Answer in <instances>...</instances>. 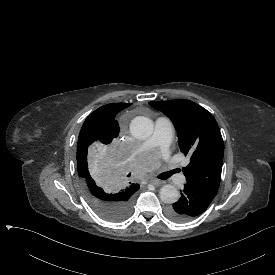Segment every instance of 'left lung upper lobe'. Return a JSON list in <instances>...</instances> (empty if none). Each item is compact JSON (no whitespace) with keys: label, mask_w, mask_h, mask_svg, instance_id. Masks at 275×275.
I'll return each instance as SVG.
<instances>
[{"label":"left lung upper lobe","mask_w":275,"mask_h":275,"mask_svg":"<svg viewBox=\"0 0 275 275\" xmlns=\"http://www.w3.org/2000/svg\"><path fill=\"white\" fill-rule=\"evenodd\" d=\"M175 125L180 150L190 156L183 168L187 183L217 194L222 171L224 144L212 114L190 100L149 102Z\"/></svg>","instance_id":"left-lung-upper-lobe-1"}]
</instances>
